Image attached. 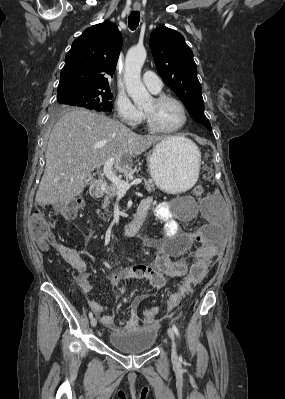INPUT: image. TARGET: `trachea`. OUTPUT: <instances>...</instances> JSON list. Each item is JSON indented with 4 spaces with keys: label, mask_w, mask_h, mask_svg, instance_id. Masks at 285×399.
I'll list each match as a JSON object with an SVG mask.
<instances>
[{
    "label": "trachea",
    "mask_w": 285,
    "mask_h": 399,
    "mask_svg": "<svg viewBox=\"0 0 285 399\" xmlns=\"http://www.w3.org/2000/svg\"><path fill=\"white\" fill-rule=\"evenodd\" d=\"M140 21V12L139 11H132L129 15L128 25L131 30H135Z\"/></svg>",
    "instance_id": "1"
}]
</instances>
